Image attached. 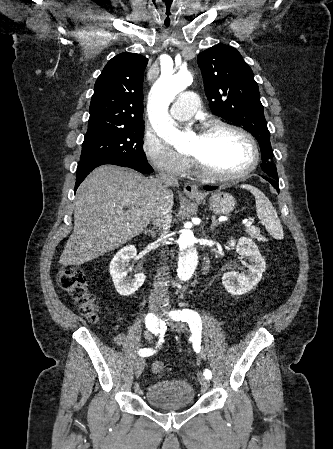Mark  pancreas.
I'll list each match as a JSON object with an SVG mask.
<instances>
[{
	"label": "pancreas",
	"instance_id": "obj_1",
	"mask_svg": "<svg viewBox=\"0 0 333 449\" xmlns=\"http://www.w3.org/2000/svg\"><path fill=\"white\" fill-rule=\"evenodd\" d=\"M246 232L248 233V235H249L251 238L257 239V240H259V241H262V240H263V236L261 235V232H260V230H259L258 228H255V227H248V228L246 229Z\"/></svg>",
	"mask_w": 333,
	"mask_h": 449
}]
</instances>
